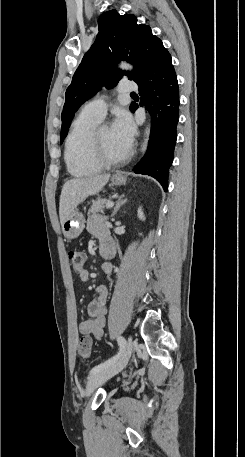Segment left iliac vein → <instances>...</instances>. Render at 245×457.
Segmentation results:
<instances>
[{"instance_id": "1", "label": "left iliac vein", "mask_w": 245, "mask_h": 457, "mask_svg": "<svg viewBox=\"0 0 245 457\" xmlns=\"http://www.w3.org/2000/svg\"><path fill=\"white\" fill-rule=\"evenodd\" d=\"M132 350L131 339L126 343V348L121 356L109 367L104 368L94 374H91L86 388V396H89L99 386L109 380L111 377L117 375L127 365Z\"/></svg>"}]
</instances>
